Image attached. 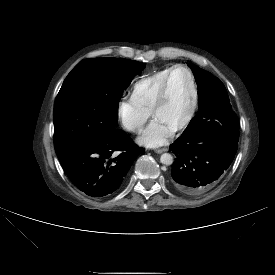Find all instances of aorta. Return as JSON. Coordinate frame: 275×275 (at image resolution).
Wrapping results in <instances>:
<instances>
[{
    "label": "aorta",
    "instance_id": "762f6f07",
    "mask_svg": "<svg viewBox=\"0 0 275 275\" xmlns=\"http://www.w3.org/2000/svg\"><path fill=\"white\" fill-rule=\"evenodd\" d=\"M160 162L164 165H171L173 163V157L169 153H164L160 157Z\"/></svg>",
    "mask_w": 275,
    "mask_h": 275
}]
</instances>
